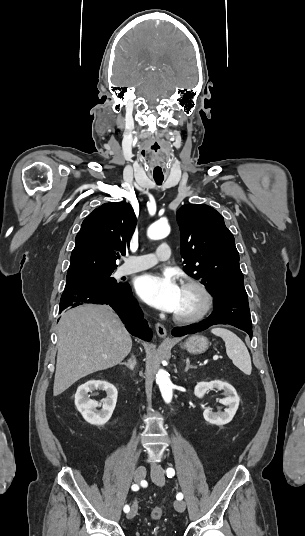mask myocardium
<instances>
[{"mask_svg":"<svg viewBox=\"0 0 305 536\" xmlns=\"http://www.w3.org/2000/svg\"><path fill=\"white\" fill-rule=\"evenodd\" d=\"M181 287H189L196 289L203 297L202 308L194 313H174L173 319L178 322H195L208 316L214 309L215 297L212 290L201 280L195 278L185 279Z\"/></svg>","mask_w":305,"mask_h":536,"instance_id":"obj_1","label":"myocardium"}]
</instances>
